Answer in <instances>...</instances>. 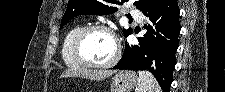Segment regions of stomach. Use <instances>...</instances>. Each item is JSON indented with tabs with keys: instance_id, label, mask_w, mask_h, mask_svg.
<instances>
[{
	"instance_id": "stomach-1",
	"label": "stomach",
	"mask_w": 225,
	"mask_h": 92,
	"mask_svg": "<svg viewBox=\"0 0 225 92\" xmlns=\"http://www.w3.org/2000/svg\"><path fill=\"white\" fill-rule=\"evenodd\" d=\"M137 75L133 71H119L112 78L111 92H130L137 85Z\"/></svg>"
}]
</instances>
